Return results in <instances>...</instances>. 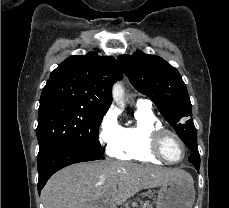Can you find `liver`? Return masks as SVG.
I'll return each mask as SVG.
<instances>
[{
    "label": "liver",
    "instance_id": "obj_1",
    "mask_svg": "<svg viewBox=\"0 0 229 208\" xmlns=\"http://www.w3.org/2000/svg\"><path fill=\"white\" fill-rule=\"evenodd\" d=\"M173 180L193 182L188 172L178 168L114 160L81 162L54 174L41 198L44 208H107L106 202L123 204L140 190L158 188Z\"/></svg>",
    "mask_w": 229,
    "mask_h": 208
}]
</instances>
